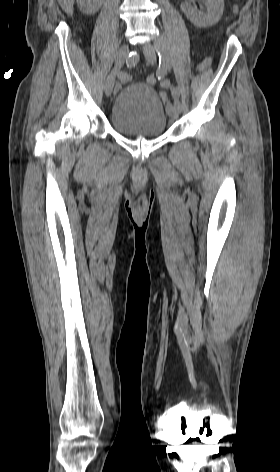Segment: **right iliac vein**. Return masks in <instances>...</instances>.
I'll use <instances>...</instances> for the list:
<instances>
[{
  "mask_svg": "<svg viewBox=\"0 0 280 472\" xmlns=\"http://www.w3.org/2000/svg\"><path fill=\"white\" fill-rule=\"evenodd\" d=\"M128 53H129V47L127 45H122L117 53L116 60H115V67L113 68V70L111 71V73L109 74V76L107 77L105 81L104 90H105L106 96L108 97L111 95L113 91L116 75L119 72V69L124 64L125 59L128 56Z\"/></svg>",
  "mask_w": 280,
  "mask_h": 472,
  "instance_id": "1",
  "label": "right iliac vein"
}]
</instances>
